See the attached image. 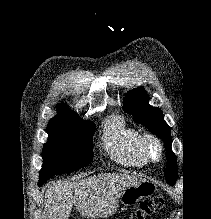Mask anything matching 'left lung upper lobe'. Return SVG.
<instances>
[{"instance_id": "left-lung-upper-lobe-1", "label": "left lung upper lobe", "mask_w": 211, "mask_h": 219, "mask_svg": "<svg viewBox=\"0 0 211 219\" xmlns=\"http://www.w3.org/2000/svg\"><path fill=\"white\" fill-rule=\"evenodd\" d=\"M148 101L146 91L142 88H135L127 94L123 110L131 114L135 122L142 124L164 141L168 160L165 177L169 184L174 185L177 177V159L170 156L173 154L170 127L164 121L161 109L150 106Z\"/></svg>"}]
</instances>
